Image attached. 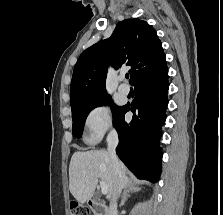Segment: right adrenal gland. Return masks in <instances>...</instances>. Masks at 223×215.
Returning a JSON list of instances; mask_svg holds the SVG:
<instances>
[{
	"instance_id": "obj_1",
	"label": "right adrenal gland",
	"mask_w": 223,
	"mask_h": 215,
	"mask_svg": "<svg viewBox=\"0 0 223 215\" xmlns=\"http://www.w3.org/2000/svg\"><path fill=\"white\" fill-rule=\"evenodd\" d=\"M139 189H141V187H135V185H133L131 181L128 187H125V191L122 195L120 207H122V205H125V201H127L128 197H130V193H134V191H139Z\"/></svg>"
}]
</instances>
